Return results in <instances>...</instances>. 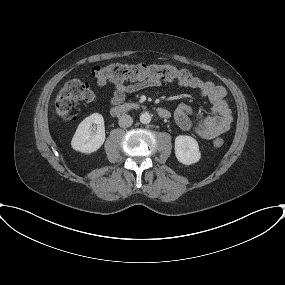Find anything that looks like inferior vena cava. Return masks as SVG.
Wrapping results in <instances>:
<instances>
[{
	"label": "inferior vena cava",
	"instance_id": "1",
	"mask_svg": "<svg viewBox=\"0 0 285 285\" xmlns=\"http://www.w3.org/2000/svg\"><path fill=\"white\" fill-rule=\"evenodd\" d=\"M133 123V119L130 115L123 114L120 116L118 124L120 127L127 128L130 127Z\"/></svg>",
	"mask_w": 285,
	"mask_h": 285
}]
</instances>
